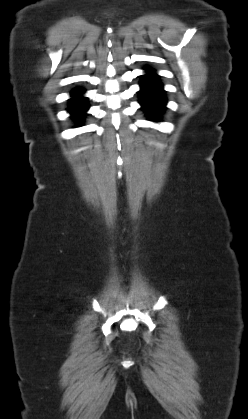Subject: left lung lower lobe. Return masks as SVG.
Listing matches in <instances>:
<instances>
[{
  "instance_id": "obj_1",
  "label": "left lung lower lobe",
  "mask_w": 248,
  "mask_h": 419,
  "mask_svg": "<svg viewBox=\"0 0 248 419\" xmlns=\"http://www.w3.org/2000/svg\"><path fill=\"white\" fill-rule=\"evenodd\" d=\"M147 70L148 74L142 76L139 102L148 117L158 121L156 116L164 111L167 101L164 98V90L162 84L158 81V76L150 72L151 69Z\"/></svg>"
}]
</instances>
